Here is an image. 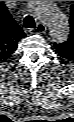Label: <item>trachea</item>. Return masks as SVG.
<instances>
[{
	"label": "trachea",
	"mask_w": 74,
	"mask_h": 122,
	"mask_svg": "<svg viewBox=\"0 0 74 122\" xmlns=\"http://www.w3.org/2000/svg\"><path fill=\"white\" fill-rule=\"evenodd\" d=\"M24 26H25V28H29V29L36 28V23H35L34 18L32 16H30V15H27L24 18Z\"/></svg>",
	"instance_id": "trachea-1"
}]
</instances>
